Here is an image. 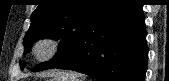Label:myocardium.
Returning a JSON list of instances; mask_svg holds the SVG:
<instances>
[{"label": "myocardium", "instance_id": "1", "mask_svg": "<svg viewBox=\"0 0 169 81\" xmlns=\"http://www.w3.org/2000/svg\"><path fill=\"white\" fill-rule=\"evenodd\" d=\"M42 46L48 47V52L46 55L41 56L38 53V50ZM62 48V42L55 36H44L39 38L33 45L32 54L36 61L40 63H46L53 60L60 52Z\"/></svg>", "mask_w": 169, "mask_h": 81}]
</instances>
